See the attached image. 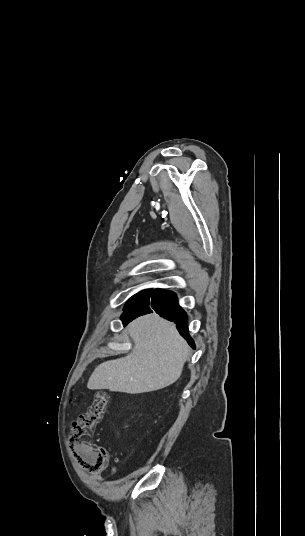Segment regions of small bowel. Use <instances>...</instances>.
<instances>
[{"label":"small bowel","instance_id":"1","mask_svg":"<svg viewBox=\"0 0 305 536\" xmlns=\"http://www.w3.org/2000/svg\"><path fill=\"white\" fill-rule=\"evenodd\" d=\"M115 471H116V467L114 466V467H112L111 473L113 474V473H115Z\"/></svg>","mask_w":305,"mask_h":536}]
</instances>
